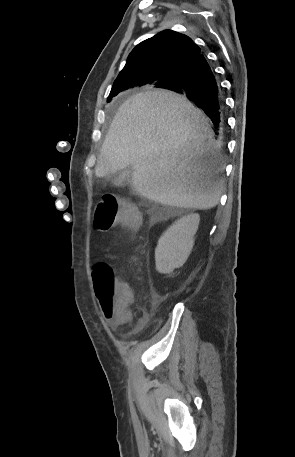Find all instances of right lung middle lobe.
Instances as JSON below:
<instances>
[{
    "instance_id": "right-lung-middle-lobe-1",
    "label": "right lung middle lobe",
    "mask_w": 295,
    "mask_h": 457,
    "mask_svg": "<svg viewBox=\"0 0 295 457\" xmlns=\"http://www.w3.org/2000/svg\"><path fill=\"white\" fill-rule=\"evenodd\" d=\"M142 84H133V85H130V87H134V86H141ZM157 87V86H155ZM119 93V89L117 90H111L110 92V95L108 97V102L111 100L112 97L116 96L117 94Z\"/></svg>"
}]
</instances>
